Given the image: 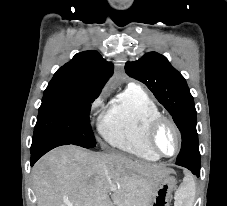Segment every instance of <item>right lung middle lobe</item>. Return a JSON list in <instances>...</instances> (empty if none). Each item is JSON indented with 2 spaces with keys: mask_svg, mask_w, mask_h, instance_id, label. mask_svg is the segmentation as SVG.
Here are the masks:
<instances>
[{
  "mask_svg": "<svg viewBox=\"0 0 227 206\" xmlns=\"http://www.w3.org/2000/svg\"><path fill=\"white\" fill-rule=\"evenodd\" d=\"M97 96L46 89L34 128L32 146L56 139L84 148L95 147L96 140L87 115L90 113L88 105Z\"/></svg>",
  "mask_w": 227,
  "mask_h": 206,
  "instance_id": "1",
  "label": "right lung middle lobe"
}]
</instances>
